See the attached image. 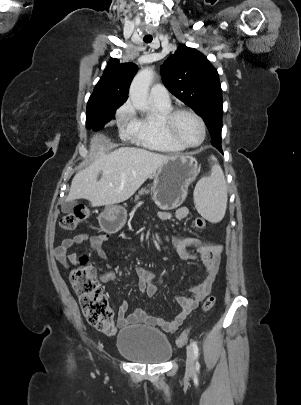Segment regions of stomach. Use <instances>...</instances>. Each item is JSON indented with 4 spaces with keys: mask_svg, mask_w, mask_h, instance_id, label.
<instances>
[{
    "mask_svg": "<svg viewBox=\"0 0 301 405\" xmlns=\"http://www.w3.org/2000/svg\"><path fill=\"white\" fill-rule=\"evenodd\" d=\"M199 171L197 160L190 154L169 157L154 175L152 198L164 210L179 207L187 197L189 185L195 181ZM126 212L119 208H108L99 220L108 232H116L125 223Z\"/></svg>",
    "mask_w": 301,
    "mask_h": 405,
    "instance_id": "0dacf381",
    "label": "stomach"
}]
</instances>
